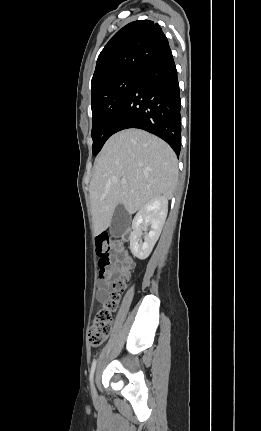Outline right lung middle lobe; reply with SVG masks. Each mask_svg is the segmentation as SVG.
I'll list each match as a JSON object with an SVG mask.
<instances>
[{
  "label": "right lung middle lobe",
  "mask_w": 261,
  "mask_h": 431,
  "mask_svg": "<svg viewBox=\"0 0 261 431\" xmlns=\"http://www.w3.org/2000/svg\"><path fill=\"white\" fill-rule=\"evenodd\" d=\"M138 73L120 75L92 91V139L93 155H97L112 135L113 126Z\"/></svg>",
  "instance_id": "obj_1"
}]
</instances>
